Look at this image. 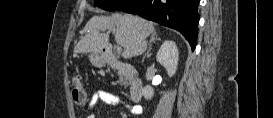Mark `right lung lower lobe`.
Segmentation results:
<instances>
[{"label":"right lung lower lobe","mask_w":273,"mask_h":118,"mask_svg":"<svg viewBox=\"0 0 273 118\" xmlns=\"http://www.w3.org/2000/svg\"><path fill=\"white\" fill-rule=\"evenodd\" d=\"M200 0H133L120 11L139 15L164 26L178 30L196 47Z\"/></svg>","instance_id":"obj_1"}]
</instances>
